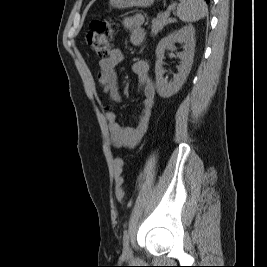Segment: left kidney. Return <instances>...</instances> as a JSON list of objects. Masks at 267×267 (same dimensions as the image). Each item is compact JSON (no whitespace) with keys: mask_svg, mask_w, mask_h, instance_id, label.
Wrapping results in <instances>:
<instances>
[{"mask_svg":"<svg viewBox=\"0 0 267 267\" xmlns=\"http://www.w3.org/2000/svg\"><path fill=\"white\" fill-rule=\"evenodd\" d=\"M176 42L184 43V51L178 53L181 64L178 67V73L173 76L172 81H167L164 78L163 58L166 49L175 48ZM195 51V29L192 25L184 26L181 29L172 32L168 36L161 39L156 48V88L157 93L162 98H169L176 94L190 73Z\"/></svg>","mask_w":267,"mask_h":267,"instance_id":"obj_1","label":"left kidney"}]
</instances>
